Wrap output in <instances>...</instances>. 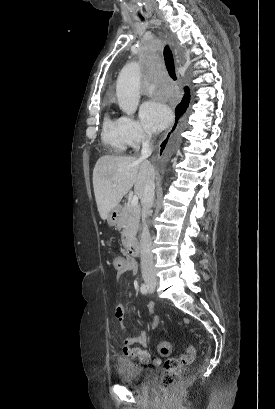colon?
<instances>
[{
    "label": "colon",
    "mask_w": 275,
    "mask_h": 409,
    "mask_svg": "<svg viewBox=\"0 0 275 409\" xmlns=\"http://www.w3.org/2000/svg\"><path fill=\"white\" fill-rule=\"evenodd\" d=\"M112 262L118 274L121 275L125 272V263L122 256H114ZM159 349L160 357L168 358L172 350L170 341L162 340ZM196 354V348L193 345H189L180 356L167 359L164 373L160 380L161 388L165 389L174 386L181 377L183 367L192 364L196 358Z\"/></svg>",
    "instance_id": "5ec220e1"
}]
</instances>
